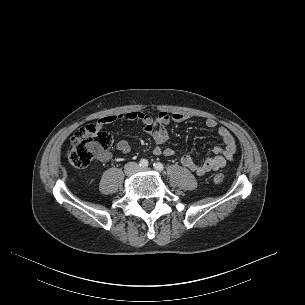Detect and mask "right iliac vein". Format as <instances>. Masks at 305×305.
Wrapping results in <instances>:
<instances>
[{"mask_svg": "<svg viewBox=\"0 0 305 305\" xmlns=\"http://www.w3.org/2000/svg\"><path fill=\"white\" fill-rule=\"evenodd\" d=\"M135 170H136V166L131 164L128 166L126 172H127V174L131 175L135 172Z\"/></svg>", "mask_w": 305, "mask_h": 305, "instance_id": "right-iliac-vein-1", "label": "right iliac vein"}]
</instances>
